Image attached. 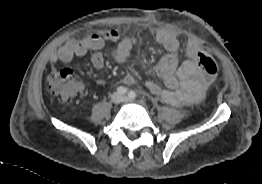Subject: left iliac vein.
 <instances>
[{
    "label": "left iliac vein",
    "mask_w": 262,
    "mask_h": 184,
    "mask_svg": "<svg viewBox=\"0 0 262 184\" xmlns=\"http://www.w3.org/2000/svg\"><path fill=\"white\" fill-rule=\"evenodd\" d=\"M123 101H125V102H130V101H133V99L124 96V97H123Z\"/></svg>",
    "instance_id": "obj_1"
}]
</instances>
